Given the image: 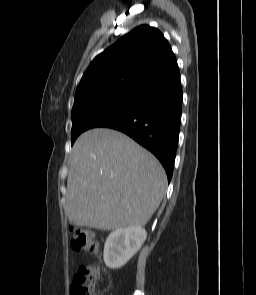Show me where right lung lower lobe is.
<instances>
[{
	"instance_id": "obj_1",
	"label": "right lung lower lobe",
	"mask_w": 256,
	"mask_h": 295,
	"mask_svg": "<svg viewBox=\"0 0 256 295\" xmlns=\"http://www.w3.org/2000/svg\"><path fill=\"white\" fill-rule=\"evenodd\" d=\"M180 73L173 60L136 91L134 102L99 127L119 130L151 151L171 180L182 112Z\"/></svg>"
}]
</instances>
